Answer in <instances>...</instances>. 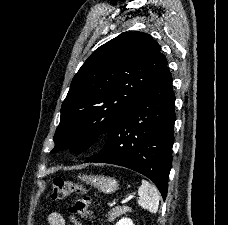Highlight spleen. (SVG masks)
Returning a JSON list of instances; mask_svg holds the SVG:
<instances>
[{"instance_id":"1","label":"spleen","mask_w":228,"mask_h":225,"mask_svg":"<svg viewBox=\"0 0 228 225\" xmlns=\"http://www.w3.org/2000/svg\"><path fill=\"white\" fill-rule=\"evenodd\" d=\"M138 205L142 209H146L149 213H157L159 207L160 193L155 185H150L148 181H142L141 187L138 189Z\"/></svg>"}]
</instances>
